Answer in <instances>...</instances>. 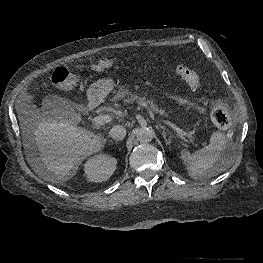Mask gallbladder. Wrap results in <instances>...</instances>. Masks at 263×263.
<instances>
[{
    "label": "gallbladder",
    "mask_w": 263,
    "mask_h": 263,
    "mask_svg": "<svg viewBox=\"0 0 263 263\" xmlns=\"http://www.w3.org/2000/svg\"><path fill=\"white\" fill-rule=\"evenodd\" d=\"M42 111L56 122H68L77 119L70 101L57 95H48L42 100Z\"/></svg>",
    "instance_id": "obj_1"
}]
</instances>
